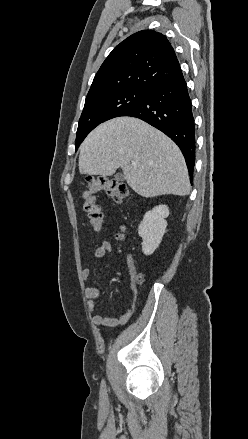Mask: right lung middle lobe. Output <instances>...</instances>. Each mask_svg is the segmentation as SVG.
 <instances>
[{
  "mask_svg": "<svg viewBox=\"0 0 248 439\" xmlns=\"http://www.w3.org/2000/svg\"><path fill=\"white\" fill-rule=\"evenodd\" d=\"M148 92L136 89H123L85 101L81 114L75 148L100 123L115 118L141 101Z\"/></svg>",
  "mask_w": 248,
  "mask_h": 439,
  "instance_id": "obj_1",
  "label": "right lung middle lobe"
}]
</instances>
